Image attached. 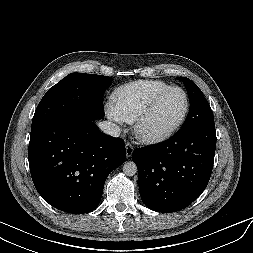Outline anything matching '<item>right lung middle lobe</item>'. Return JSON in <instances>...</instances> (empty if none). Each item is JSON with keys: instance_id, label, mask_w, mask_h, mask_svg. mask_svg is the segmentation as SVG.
Returning <instances> with one entry per match:
<instances>
[{"instance_id": "dd1d6c3e", "label": "right lung middle lobe", "mask_w": 253, "mask_h": 253, "mask_svg": "<svg viewBox=\"0 0 253 253\" xmlns=\"http://www.w3.org/2000/svg\"><path fill=\"white\" fill-rule=\"evenodd\" d=\"M110 82V77L102 75H67L43 96L35 110L31 130L67 117L103 118V93Z\"/></svg>"}]
</instances>
